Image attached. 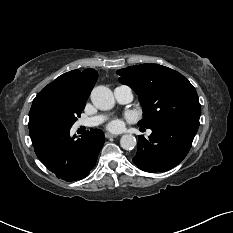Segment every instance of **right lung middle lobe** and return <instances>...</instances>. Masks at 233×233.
I'll return each instance as SVG.
<instances>
[{"label": "right lung middle lobe", "mask_w": 233, "mask_h": 233, "mask_svg": "<svg viewBox=\"0 0 233 233\" xmlns=\"http://www.w3.org/2000/svg\"><path fill=\"white\" fill-rule=\"evenodd\" d=\"M85 104L58 90L44 89L33 100L29 112V129L36 126L71 128Z\"/></svg>", "instance_id": "obj_1"}]
</instances>
